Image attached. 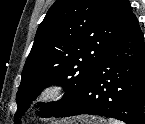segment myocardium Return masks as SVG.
<instances>
[{
  "label": "myocardium",
  "instance_id": "obj_1",
  "mask_svg": "<svg viewBox=\"0 0 145 124\" xmlns=\"http://www.w3.org/2000/svg\"><path fill=\"white\" fill-rule=\"evenodd\" d=\"M66 93L65 86L58 81L42 84L34 94V101L41 105H50L61 100Z\"/></svg>",
  "mask_w": 145,
  "mask_h": 124
}]
</instances>
